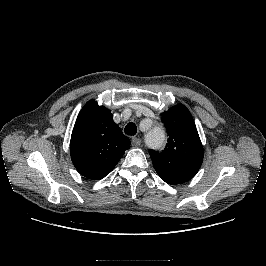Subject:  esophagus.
I'll use <instances>...</instances> for the list:
<instances>
[{
	"label": "esophagus",
	"mask_w": 266,
	"mask_h": 266,
	"mask_svg": "<svg viewBox=\"0 0 266 266\" xmlns=\"http://www.w3.org/2000/svg\"><path fill=\"white\" fill-rule=\"evenodd\" d=\"M132 146L137 147L141 144V140L137 137H133L131 139Z\"/></svg>",
	"instance_id": "esophagus-1"
}]
</instances>
